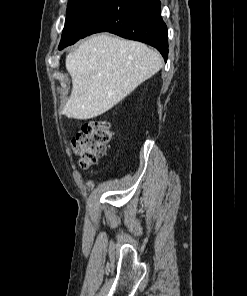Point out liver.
<instances>
[{"label": "liver", "instance_id": "1", "mask_svg": "<svg viewBox=\"0 0 247 296\" xmlns=\"http://www.w3.org/2000/svg\"><path fill=\"white\" fill-rule=\"evenodd\" d=\"M161 67L160 54L143 43L92 36L66 57L72 91L63 114L79 120L102 115Z\"/></svg>", "mask_w": 247, "mask_h": 296}]
</instances>
